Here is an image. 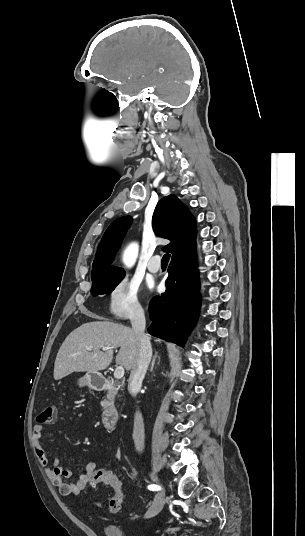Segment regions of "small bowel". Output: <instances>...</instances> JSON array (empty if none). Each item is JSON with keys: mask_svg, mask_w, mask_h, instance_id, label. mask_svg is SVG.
Returning a JSON list of instances; mask_svg holds the SVG:
<instances>
[{"mask_svg": "<svg viewBox=\"0 0 305 536\" xmlns=\"http://www.w3.org/2000/svg\"><path fill=\"white\" fill-rule=\"evenodd\" d=\"M43 430L44 427H33L32 429L33 446L41 466L52 484L58 488L61 496L79 495L85 491L86 483L88 479H91L89 473L93 469L94 462H88L74 478L73 471L63 466L59 458L50 459L47 455L42 444ZM92 504L97 508H106V504L100 500H94Z\"/></svg>", "mask_w": 305, "mask_h": 536, "instance_id": "1", "label": "small bowel"}]
</instances>
